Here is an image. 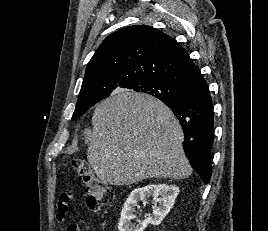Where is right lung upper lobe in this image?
I'll return each mask as SVG.
<instances>
[{
    "instance_id": "cb5924a9",
    "label": "right lung upper lobe",
    "mask_w": 268,
    "mask_h": 231,
    "mask_svg": "<svg viewBox=\"0 0 268 231\" xmlns=\"http://www.w3.org/2000/svg\"><path fill=\"white\" fill-rule=\"evenodd\" d=\"M187 51L171 36L146 26H129L109 35L86 68L77 103L105 99L121 87L159 81L184 89L202 78Z\"/></svg>"
}]
</instances>
